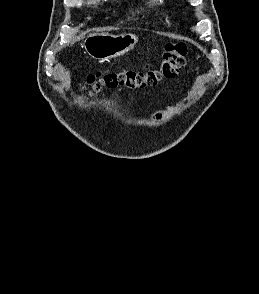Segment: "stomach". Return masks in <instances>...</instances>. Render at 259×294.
I'll return each instance as SVG.
<instances>
[{"mask_svg": "<svg viewBox=\"0 0 259 294\" xmlns=\"http://www.w3.org/2000/svg\"><path fill=\"white\" fill-rule=\"evenodd\" d=\"M138 37L134 34L113 35L105 32L89 34L84 47L87 53L99 60H107L124 55L134 48Z\"/></svg>", "mask_w": 259, "mask_h": 294, "instance_id": "1", "label": "stomach"}]
</instances>
